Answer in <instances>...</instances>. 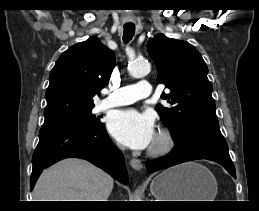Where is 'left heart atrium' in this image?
<instances>
[{
	"mask_svg": "<svg viewBox=\"0 0 259 211\" xmlns=\"http://www.w3.org/2000/svg\"><path fill=\"white\" fill-rule=\"evenodd\" d=\"M108 129L116 140L132 149H145L156 137L153 118L135 109L114 112L108 119Z\"/></svg>",
	"mask_w": 259,
	"mask_h": 211,
	"instance_id": "1",
	"label": "left heart atrium"
}]
</instances>
